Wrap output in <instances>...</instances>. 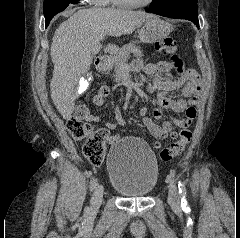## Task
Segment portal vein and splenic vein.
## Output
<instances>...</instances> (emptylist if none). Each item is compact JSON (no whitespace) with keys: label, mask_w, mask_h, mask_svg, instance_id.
Instances as JSON below:
<instances>
[{"label":"portal vein and splenic vein","mask_w":240,"mask_h":238,"mask_svg":"<svg viewBox=\"0 0 240 238\" xmlns=\"http://www.w3.org/2000/svg\"><path fill=\"white\" fill-rule=\"evenodd\" d=\"M100 49H101V46H100V45H97V46L92 47L91 52H92V54H97V53H99ZM108 52H109V53H113L112 50H110V51H108Z\"/></svg>","instance_id":"1"}]
</instances>
